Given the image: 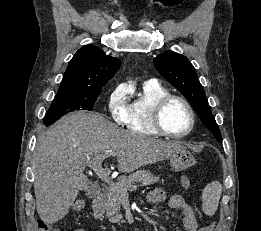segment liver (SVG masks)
Wrapping results in <instances>:
<instances>
[{
  "instance_id": "liver-1",
  "label": "liver",
  "mask_w": 261,
  "mask_h": 231,
  "mask_svg": "<svg viewBox=\"0 0 261 231\" xmlns=\"http://www.w3.org/2000/svg\"><path fill=\"white\" fill-rule=\"evenodd\" d=\"M184 148L178 141L124 130L100 114L66 115L38 138L32 165L37 212L46 224L62 219L79 191L90 187L83 172L93 156L115 151L118 170L126 173Z\"/></svg>"
}]
</instances>
